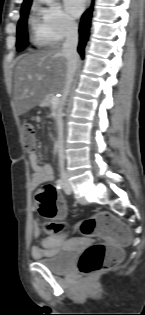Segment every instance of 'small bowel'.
<instances>
[{"label": "small bowel", "instance_id": "obj_1", "mask_svg": "<svg viewBox=\"0 0 145 315\" xmlns=\"http://www.w3.org/2000/svg\"><path fill=\"white\" fill-rule=\"evenodd\" d=\"M30 166L33 170L31 177V185L33 187L38 186L39 184L50 181L53 178L52 166L48 163L40 164L38 155L31 151L28 156ZM40 230L37 226L34 227L33 234L34 236L39 235ZM62 243V235L54 234L46 237L42 240L41 244L34 245L31 249L33 258L41 259L44 257H52L57 252L60 251Z\"/></svg>", "mask_w": 145, "mask_h": 315}]
</instances>
